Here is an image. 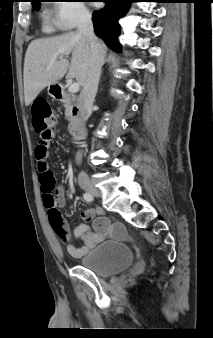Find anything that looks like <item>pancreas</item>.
<instances>
[{
  "mask_svg": "<svg viewBox=\"0 0 213 338\" xmlns=\"http://www.w3.org/2000/svg\"><path fill=\"white\" fill-rule=\"evenodd\" d=\"M64 107H65V116L68 119L69 123V131L72 132L74 130L76 124V117L73 115V103L70 100V94L65 95V99L63 100Z\"/></svg>",
  "mask_w": 213,
  "mask_h": 338,
  "instance_id": "cf45deb5",
  "label": "pancreas"
}]
</instances>
